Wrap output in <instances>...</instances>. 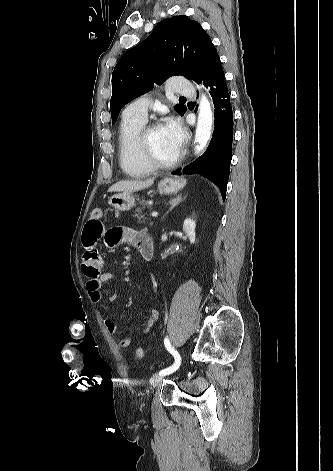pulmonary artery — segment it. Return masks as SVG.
Wrapping results in <instances>:
<instances>
[{"label":"pulmonary artery","instance_id":"e3ab8cb5","mask_svg":"<svg viewBox=\"0 0 333 471\" xmlns=\"http://www.w3.org/2000/svg\"><path fill=\"white\" fill-rule=\"evenodd\" d=\"M170 90L179 95L191 96L194 94V87L183 77H174L169 83ZM149 100L139 98L130 103L124 110L123 115L130 118H136L146 121L148 115Z\"/></svg>","mask_w":333,"mask_h":471}]
</instances>
